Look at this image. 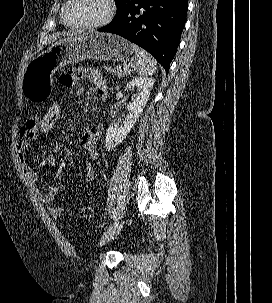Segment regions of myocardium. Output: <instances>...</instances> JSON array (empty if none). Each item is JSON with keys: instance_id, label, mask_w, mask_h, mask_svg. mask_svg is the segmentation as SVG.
<instances>
[{"instance_id": "f54148a6", "label": "myocardium", "mask_w": 272, "mask_h": 303, "mask_svg": "<svg viewBox=\"0 0 272 303\" xmlns=\"http://www.w3.org/2000/svg\"><path fill=\"white\" fill-rule=\"evenodd\" d=\"M106 8H107V12L106 15L99 21L96 22H88V23H81V24H72L70 22H68L67 18H66V11L69 7V5L73 2V0H67L66 3L63 6L62 9V14H61V18L63 23L73 29H96V28H101L106 26L107 24H109L112 19L115 16L116 13V4L114 0H103Z\"/></svg>"}]
</instances>
